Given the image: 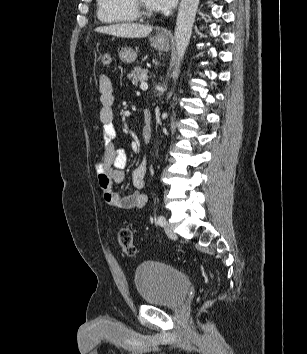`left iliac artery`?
<instances>
[{"label": "left iliac artery", "instance_id": "44dca946", "mask_svg": "<svg viewBox=\"0 0 307 354\" xmlns=\"http://www.w3.org/2000/svg\"><path fill=\"white\" fill-rule=\"evenodd\" d=\"M157 222L160 226H164L166 223V219L164 216L160 215V216H158Z\"/></svg>", "mask_w": 307, "mask_h": 354}]
</instances>
